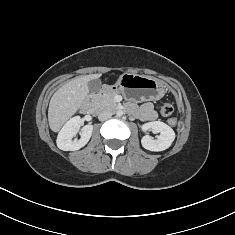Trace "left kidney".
Segmentation results:
<instances>
[{
    "mask_svg": "<svg viewBox=\"0 0 235 235\" xmlns=\"http://www.w3.org/2000/svg\"><path fill=\"white\" fill-rule=\"evenodd\" d=\"M153 130L160 133L157 139H153L149 135H145L141 139L142 146L150 151H163L169 148L175 139V132L171 127L161 121H154L142 125V130Z\"/></svg>",
    "mask_w": 235,
    "mask_h": 235,
    "instance_id": "obj_1",
    "label": "left kidney"
}]
</instances>
